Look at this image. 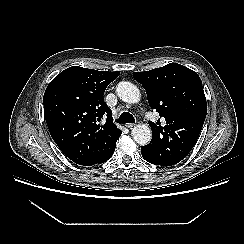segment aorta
Returning <instances> with one entry per match:
<instances>
[{"mask_svg":"<svg viewBox=\"0 0 244 244\" xmlns=\"http://www.w3.org/2000/svg\"><path fill=\"white\" fill-rule=\"evenodd\" d=\"M116 92L118 97L129 104H135L140 101V90L134 84L126 81L118 83ZM132 137L134 141L141 145H147L152 137L151 129L146 124H137L132 128Z\"/></svg>","mask_w":244,"mask_h":244,"instance_id":"obj_1","label":"aorta"}]
</instances>
